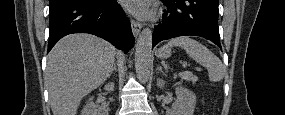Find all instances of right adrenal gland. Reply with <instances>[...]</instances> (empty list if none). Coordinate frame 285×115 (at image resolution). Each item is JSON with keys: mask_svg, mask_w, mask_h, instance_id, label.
I'll return each instance as SVG.
<instances>
[{"mask_svg": "<svg viewBox=\"0 0 285 115\" xmlns=\"http://www.w3.org/2000/svg\"><path fill=\"white\" fill-rule=\"evenodd\" d=\"M113 71L117 72L116 62H114L113 69L109 74V77L112 75Z\"/></svg>", "mask_w": 285, "mask_h": 115, "instance_id": "1", "label": "right adrenal gland"}]
</instances>
